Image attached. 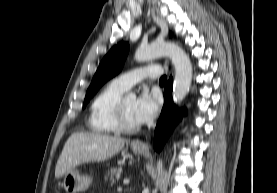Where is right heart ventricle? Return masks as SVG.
I'll list each match as a JSON object with an SVG mask.
<instances>
[{"label":"right heart ventricle","instance_id":"1","mask_svg":"<svg viewBox=\"0 0 277 193\" xmlns=\"http://www.w3.org/2000/svg\"><path fill=\"white\" fill-rule=\"evenodd\" d=\"M125 90L113 82L106 85L93 99L89 107L87 126L96 134L118 132L115 121V107Z\"/></svg>","mask_w":277,"mask_h":193}]
</instances>
